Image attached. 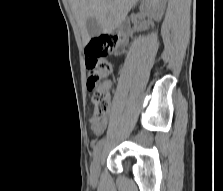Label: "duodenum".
I'll list each match as a JSON object with an SVG mask.
<instances>
[{
    "label": "duodenum",
    "instance_id": "obj_1",
    "mask_svg": "<svg viewBox=\"0 0 223 191\" xmlns=\"http://www.w3.org/2000/svg\"><path fill=\"white\" fill-rule=\"evenodd\" d=\"M128 29H129V27H128V23L126 21L123 22L121 24L120 28H119L120 32L123 33V34H127L128 33Z\"/></svg>",
    "mask_w": 223,
    "mask_h": 191
}]
</instances>
